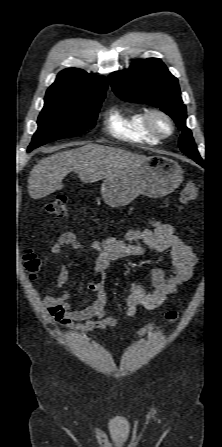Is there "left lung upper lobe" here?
I'll return each mask as SVG.
<instances>
[{"label":"left lung upper lobe","instance_id":"5c2ea615","mask_svg":"<svg viewBox=\"0 0 222 447\" xmlns=\"http://www.w3.org/2000/svg\"><path fill=\"white\" fill-rule=\"evenodd\" d=\"M115 94L122 100L160 108L182 131L179 145L190 158H201L190 129L186 127V106L181 99L178 80L157 58L135 61L129 69L109 75Z\"/></svg>","mask_w":222,"mask_h":447}]
</instances>
